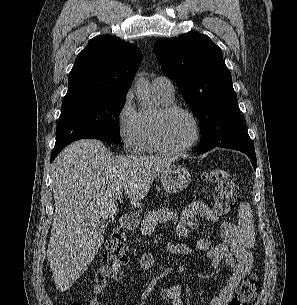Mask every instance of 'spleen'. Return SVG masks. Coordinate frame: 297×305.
Instances as JSON below:
<instances>
[{"instance_id": "1", "label": "spleen", "mask_w": 297, "mask_h": 305, "mask_svg": "<svg viewBox=\"0 0 297 305\" xmlns=\"http://www.w3.org/2000/svg\"><path fill=\"white\" fill-rule=\"evenodd\" d=\"M238 220V231L241 237L254 238V220L252 215V210L249 203L245 202L240 205L237 214Z\"/></svg>"}]
</instances>
